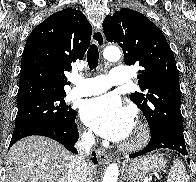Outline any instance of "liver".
<instances>
[{"instance_id":"6515ba94","label":"liver","mask_w":196,"mask_h":182,"mask_svg":"<svg viewBox=\"0 0 196 182\" xmlns=\"http://www.w3.org/2000/svg\"><path fill=\"white\" fill-rule=\"evenodd\" d=\"M74 155L58 142L30 136L16 142L6 158L5 182H68L69 164ZM88 164V182L96 174Z\"/></svg>"}]
</instances>
